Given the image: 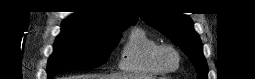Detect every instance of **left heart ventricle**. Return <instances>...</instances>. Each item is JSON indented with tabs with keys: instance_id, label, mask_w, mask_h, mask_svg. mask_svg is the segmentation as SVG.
I'll list each match as a JSON object with an SVG mask.
<instances>
[{
	"instance_id": "1",
	"label": "left heart ventricle",
	"mask_w": 255,
	"mask_h": 79,
	"mask_svg": "<svg viewBox=\"0 0 255 79\" xmlns=\"http://www.w3.org/2000/svg\"><path fill=\"white\" fill-rule=\"evenodd\" d=\"M163 57L169 66H172V67L176 66L177 57L175 56V54L173 52L166 51V52H164Z\"/></svg>"
}]
</instances>
